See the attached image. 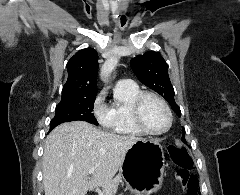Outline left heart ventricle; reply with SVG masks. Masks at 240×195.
<instances>
[{"label": "left heart ventricle", "instance_id": "left-heart-ventricle-1", "mask_svg": "<svg viewBox=\"0 0 240 195\" xmlns=\"http://www.w3.org/2000/svg\"><path fill=\"white\" fill-rule=\"evenodd\" d=\"M142 114L145 124L152 130H161L166 125V115L160 103L153 99L147 98L144 101Z\"/></svg>", "mask_w": 240, "mask_h": 195}]
</instances>
